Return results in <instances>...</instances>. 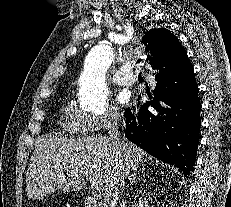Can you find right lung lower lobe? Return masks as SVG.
I'll return each mask as SVG.
<instances>
[{
    "instance_id": "obj_1",
    "label": "right lung lower lobe",
    "mask_w": 231,
    "mask_h": 207,
    "mask_svg": "<svg viewBox=\"0 0 231 207\" xmlns=\"http://www.w3.org/2000/svg\"><path fill=\"white\" fill-rule=\"evenodd\" d=\"M153 30L143 38H149ZM162 65L159 62L152 68ZM155 80L151 100L137 111L128 108L124 113L125 136L154 157L177 166L187 177L196 160L201 122L192 64L159 68Z\"/></svg>"
}]
</instances>
